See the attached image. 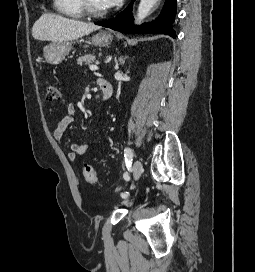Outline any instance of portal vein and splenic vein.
Segmentation results:
<instances>
[{"instance_id":"portal-vein-and-splenic-vein-1","label":"portal vein and splenic vein","mask_w":255,"mask_h":272,"mask_svg":"<svg viewBox=\"0 0 255 272\" xmlns=\"http://www.w3.org/2000/svg\"><path fill=\"white\" fill-rule=\"evenodd\" d=\"M89 69H90L91 71H96V70H98L99 68H98L97 65H90V66H89Z\"/></svg>"}]
</instances>
